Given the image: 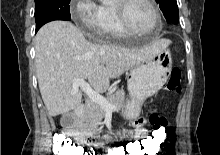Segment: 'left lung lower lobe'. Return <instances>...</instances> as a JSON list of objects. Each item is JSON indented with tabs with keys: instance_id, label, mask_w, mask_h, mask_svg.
Returning a JSON list of instances; mask_svg holds the SVG:
<instances>
[{
	"instance_id": "obj_1",
	"label": "left lung lower lobe",
	"mask_w": 220,
	"mask_h": 155,
	"mask_svg": "<svg viewBox=\"0 0 220 155\" xmlns=\"http://www.w3.org/2000/svg\"><path fill=\"white\" fill-rule=\"evenodd\" d=\"M178 22H179V19H177V20H175V21H173L172 23H169V24L176 25V24H178Z\"/></svg>"
}]
</instances>
